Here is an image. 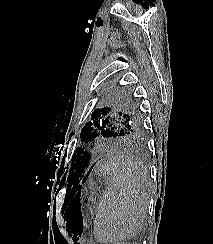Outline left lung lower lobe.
<instances>
[{
    "label": "left lung lower lobe",
    "instance_id": "left-lung-lower-lobe-1",
    "mask_svg": "<svg viewBox=\"0 0 213 244\" xmlns=\"http://www.w3.org/2000/svg\"><path fill=\"white\" fill-rule=\"evenodd\" d=\"M94 165H95V163L92 165V167H93ZM92 167H91L90 170L87 172V174L83 177L81 183H84V182L86 181V179H87V177H88V175H89V173H90ZM79 189H80V187H79Z\"/></svg>",
    "mask_w": 213,
    "mask_h": 244
}]
</instances>
